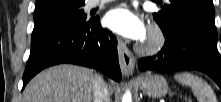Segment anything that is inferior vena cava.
<instances>
[{
  "label": "inferior vena cava",
  "mask_w": 221,
  "mask_h": 102,
  "mask_svg": "<svg viewBox=\"0 0 221 102\" xmlns=\"http://www.w3.org/2000/svg\"><path fill=\"white\" fill-rule=\"evenodd\" d=\"M93 102H110L108 87L100 74L94 76Z\"/></svg>",
  "instance_id": "inferior-vena-cava-1"
}]
</instances>
